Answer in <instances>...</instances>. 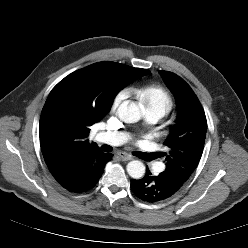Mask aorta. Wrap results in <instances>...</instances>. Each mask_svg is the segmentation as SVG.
Instances as JSON below:
<instances>
[{
	"label": "aorta",
	"mask_w": 248,
	"mask_h": 248,
	"mask_svg": "<svg viewBox=\"0 0 248 248\" xmlns=\"http://www.w3.org/2000/svg\"><path fill=\"white\" fill-rule=\"evenodd\" d=\"M117 115L125 123H135L141 119L142 111L135 102L124 101L118 107ZM126 169L133 179H140L145 173V165L138 160L130 161Z\"/></svg>",
	"instance_id": "1"
}]
</instances>
